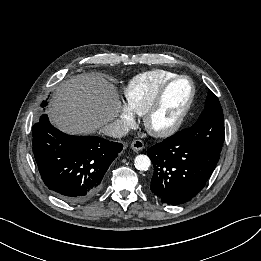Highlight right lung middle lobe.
<instances>
[{
	"label": "right lung middle lobe",
	"mask_w": 261,
	"mask_h": 261,
	"mask_svg": "<svg viewBox=\"0 0 261 261\" xmlns=\"http://www.w3.org/2000/svg\"><path fill=\"white\" fill-rule=\"evenodd\" d=\"M46 105H47L46 101L41 104L42 107H45Z\"/></svg>",
	"instance_id": "1"
}]
</instances>
